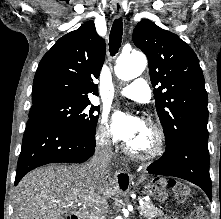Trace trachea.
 <instances>
[{
	"instance_id": "trachea-1",
	"label": "trachea",
	"mask_w": 221,
	"mask_h": 219,
	"mask_svg": "<svg viewBox=\"0 0 221 219\" xmlns=\"http://www.w3.org/2000/svg\"><path fill=\"white\" fill-rule=\"evenodd\" d=\"M122 35L123 22L122 18H118L114 20L109 36V52L111 56H115V54L118 52L121 46Z\"/></svg>"
}]
</instances>
